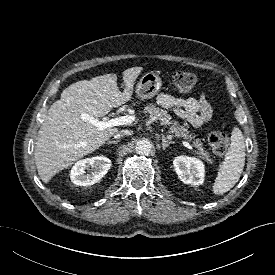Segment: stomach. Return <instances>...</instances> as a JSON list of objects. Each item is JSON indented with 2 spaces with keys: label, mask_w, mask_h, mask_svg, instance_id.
Segmentation results:
<instances>
[{
  "label": "stomach",
  "mask_w": 275,
  "mask_h": 275,
  "mask_svg": "<svg viewBox=\"0 0 275 275\" xmlns=\"http://www.w3.org/2000/svg\"><path fill=\"white\" fill-rule=\"evenodd\" d=\"M161 79L153 72L144 74L137 83L136 94L141 99H151L159 92Z\"/></svg>",
  "instance_id": "obj_1"
}]
</instances>
